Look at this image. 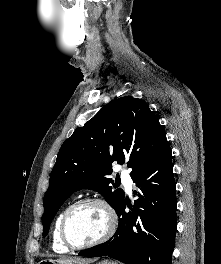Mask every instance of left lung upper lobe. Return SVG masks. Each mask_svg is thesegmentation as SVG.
<instances>
[{
    "label": "left lung upper lobe",
    "instance_id": "1",
    "mask_svg": "<svg viewBox=\"0 0 221 264\" xmlns=\"http://www.w3.org/2000/svg\"><path fill=\"white\" fill-rule=\"evenodd\" d=\"M165 140L163 126L143 101L126 96L107 104L59 150L43 199V237L58 209L77 190L99 192L116 210L124 191L107 177L112 163L127 162L132 177L153 160Z\"/></svg>",
    "mask_w": 221,
    "mask_h": 264
}]
</instances>
